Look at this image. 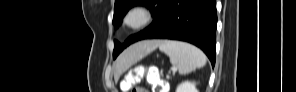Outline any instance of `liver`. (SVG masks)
<instances>
[{
  "label": "liver",
  "mask_w": 296,
  "mask_h": 92,
  "mask_svg": "<svg viewBox=\"0 0 296 92\" xmlns=\"http://www.w3.org/2000/svg\"><path fill=\"white\" fill-rule=\"evenodd\" d=\"M159 43L160 42L156 40L142 41L130 46L123 53H121V55L113 64L115 80H118L121 74L137 61L142 59L150 52L154 51Z\"/></svg>",
  "instance_id": "liver-1"
}]
</instances>
